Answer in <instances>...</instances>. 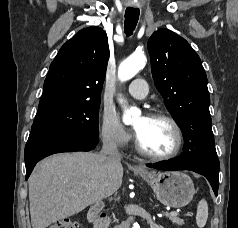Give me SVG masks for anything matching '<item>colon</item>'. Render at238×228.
I'll list each match as a JSON object with an SVG mask.
<instances>
[{"label":"colon","instance_id":"5ec220e1","mask_svg":"<svg viewBox=\"0 0 238 228\" xmlns=\"http://www.w3.org/2000/svg\"><path fill=\"white\" fill-rule=\"evenodd\" d=\"M47 228H79V224L72 219H62L53 222Z\"/></svg>","mask_w":238,"mask_h":228}]
</instances>
